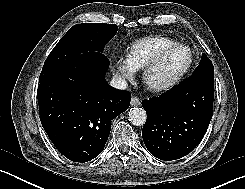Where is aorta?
<instances>
[{
    "instance_id": "762f6f07",
    "label": "aorta",
    "mask_w": 245,
    "mask_h": 189,
    "mask_svg": "<svg viewBox=\"0 0 245 189\" xmlns=\"http://www.w3.org/2000/svg\"><path fill=\"white\" fill-rule=\"evenodd\" d=\"M129 121L135 126H142L146 122V111L140 107L130 108L128 112Z\"/></svg>"
}]
</instances>
